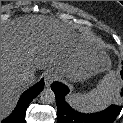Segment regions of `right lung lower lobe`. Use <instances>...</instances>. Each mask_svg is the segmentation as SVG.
Here are the masks:
<instances>
[{"label": "right lung lower lobe", "instance_id": "obj_1", "mask_svg": "<svg viewBox=\"0 0 123 123\" xmlns=\"http://www.w3.org/2000/svg\"><path fill=\"white\" fill-rule=\"evenodd\" d=\"M43 88L44 79H41L40 82L21 95L14 111L1 123H25V112L29 103L43 90Z\"/></svg>", "mask_w": 123, "mask_h": 123}]
</instances>
